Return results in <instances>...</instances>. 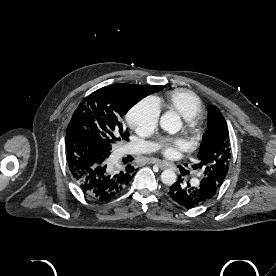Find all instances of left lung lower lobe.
Wrapping results in <instances>:
<instances>
[{
	"instance_id": "1",
	"label": "left lung lower lobe",
	"mask_w": 276,
	"mask_h": 276,
	"mask_svg": "<svg viewBox=\"0 0 276 276\" xmlns=\"http://www.w3.org/2000/svg\"><path fill=\"white\" fill-rule=\"evenodd\" d=\"M218 187L210 178H203L196 187H191L187 182V185L183 183V179L179 176L177 182H175L169 189L170 197L176 201L179 205L186 208H194L207 202L214 196Z\"/></svg>"
}]
</instances>
